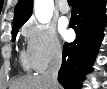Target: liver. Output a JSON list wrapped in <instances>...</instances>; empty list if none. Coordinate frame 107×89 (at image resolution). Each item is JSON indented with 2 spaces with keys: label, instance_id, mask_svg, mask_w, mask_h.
<instances>
[{
  "label": "liver",
  "instance_id": "1",
  "mask_svg": "<svg viewBox=\"0 0 107 89\" xmlns=\"http://www.w3.org/2000/svg\"><path fill=\"white\" fill-rule=\"evenodd\" d=\"M58 85V89H59ZM9 89H52L49 81L43 74L36 76H25L12 82Z\"/></svg>",
  "mask_w": 107,
  "mask_h": 89
}]
</instances>
